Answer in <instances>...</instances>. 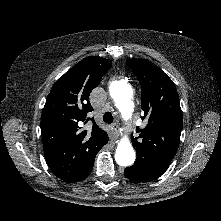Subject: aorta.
<instances>
[{"mask_svg": "<svg viewBox=\"0 0 221 221\" xmlns=\"http://www.w3.org/2000/svg\"><path fill=\"white\" fill-rule=\"evenodd\" d=\"M110 95L116 103L119 111L126 115L130 112L132 107L133 89L125 81H113L109 87ZM135 151L130 141L125 138L122 139L115 152L116 163L120 166H130L135 161Z\"/></svg>", "mask_w": 221, "mask_h": 221, "instance_id": "aorta-1", "label": "aorta"}]
</instances>
